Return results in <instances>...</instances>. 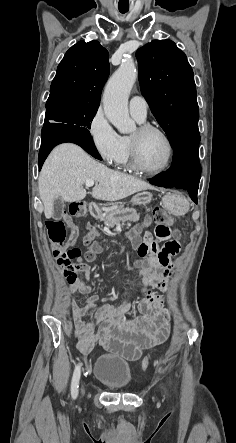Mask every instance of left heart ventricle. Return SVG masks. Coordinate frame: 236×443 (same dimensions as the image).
<instances>
[{"label":"left heart ventricle","mask_w":236,"mask_h":443,"mask_svg":"<svg viewBox=\"0 0 236 443\" xmlns=\"http://www.w3.org/2000/svg\"><path fill=\"white\" fill-rule=\"evenodd\" d=\"M131 136L138 138L140 158L145 167L154 170L164 166L168 159V146L161 135L151 132L139 136L136 129Z\"/></svg>","instance_id":"obj_1"}]
</instances>
